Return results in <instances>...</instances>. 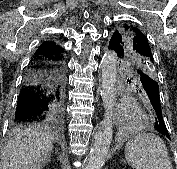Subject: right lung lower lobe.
I'll return each mask as SVG.
<instances>
[{"label":"right lung lower lobe","mask_w":177,"mask_h":169,"mask_svg":"<svg viewBox=\"0 0 177 169\" xmlns=\"http://www.w3.org/2000/svg\"><path fill=\"white\" fill-rule=\"evenodd\" d=\"M65 76L62 59L36 52L25 74L18 96L15 124L62 121Z\"/></svg>","instance_id":"1"}]
</instances>
